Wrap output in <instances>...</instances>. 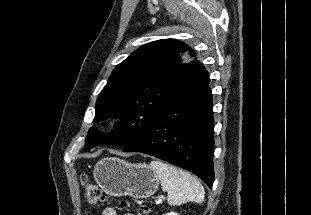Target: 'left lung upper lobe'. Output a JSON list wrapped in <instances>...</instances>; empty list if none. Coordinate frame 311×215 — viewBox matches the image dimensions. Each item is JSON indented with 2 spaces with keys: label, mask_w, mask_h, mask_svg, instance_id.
Returning <instances> with one entry per match:
<instances>
[{
  "label": "left lung upper lobe",
  "mask_w": 311,
  "mask_h": 215,
  "mask_svg": "<svg viewBox=\"0 0 311 215\" xmlns=\"http://www.w3.org/2000/svg\"><path fill=\"white\" fill-rule=\"evenodd\" d=\"M198 66L194 50L175 39L153 41L134 51L113 70L95 106L93 123L111 117L121 122L107 134L90 128L86 149L132 142L191 80Z\"/></svg>",
  "instance_id": "left-lung-upper-lobe-1"
}]
</instances>
